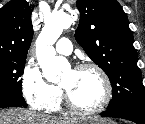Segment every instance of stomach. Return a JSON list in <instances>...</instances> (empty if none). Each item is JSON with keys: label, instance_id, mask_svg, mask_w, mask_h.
Listing matches in <instances>:
<instances>
[{"label": "stomach", "instance_id": "0dacf381", "mask_svg": "<svg viewBox=\"0 0 145 124\" xmlns=\"http://www.w3.org/2000/svg\"><path fill=\"white\" fill-rule=\"evenodd\" d=\"M77 124H114V123L109 120L87 117L80 119Z\"/></svg>", "mask_w": 145, "mask_h": 124}]
</instances>
